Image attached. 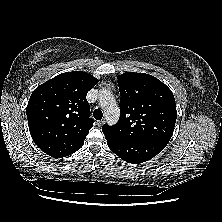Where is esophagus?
<instances>
[{
    "label": "esophagus",
    "mask_w": 222,
    "mask_h": 222,
    "mask_svg": "<svg viewBox=\"0 0 222 222\" xmlns=\"http://www.w3.org/2000/svg\"><path fill=\"white\" fill-rule=\"evenodd\" d=\"M103 123H104V120H98V121H97V125H98V126H102Z\"/></svg>",
    "instance_id": "34e87169"
}]
</instances>
